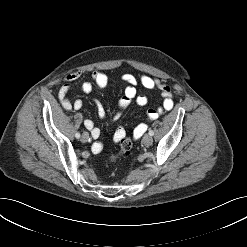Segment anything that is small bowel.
Instances as JSON below:
<instances>
[{
    "label": "small bowel",
    "instance_id": "small-bowel-1",
    "mask_svg": "<svg viewBox=\"0 0 247 247\" xmlns=\"http://www.w3.org/2000/svg\"><path fill=\"white\" fill-rule=\"evenodd\" d=\"M81 76V73L79 71L72 72L64 78V84L60 87L58 91V99L62 105V107L67 111L72 110H80L83 106V102L81 99H76L74 101L70 100L68 93L71 90L72 82L77 80ZM92 82H84L81 86V90L85 94H90L93 91L94 84L100 88L104 89L108 84V77L105 73L100 71H94L91 75ZM122 80L126 83V87L124 90V95L122 98L118 101L117 104V112L111 117L112 120H117L121 114L130 106L132 102H135L138 106H146L148 104V97L145 94H141L138 92V80L137 78L132 74H124L122 76ZM140 84L148 89V90H154L157 91L163 98L162 106L155 110L152 108H149L146 110V119L147 121H153L163 112V111H170L174 106V100L171 88L162 83L157 78L148 76V75H142L139 79ZM97 113L101 119H105L107 117L106 111L102 105V103L95 99L94 100ZM84 126L90 131L91 136L94 139L99 138L101 131L98 127L95 126L93 120L91 119H85L84 120ZM147 130V124L146 123H140L138 124L134 131V137L139 138L145 131ZM116 134H121L122 136H125V130L122 126H119L114 134V139L116 142ZM101 144L96 143L93 146V149L95 152H98L101 149Z\"/></svg>",
    "mask_w": 247,
    "mask_h": 247
}]
</instances>
